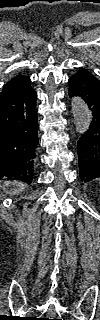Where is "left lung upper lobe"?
<instances>
[{
    "label": "left lung upper lobe",
    "instance_id": "left-lung-upper-lobe-1",
    "mask_svg": "<svg viewBox=\"0 0 100 320\" xmlns=\"http://www.w3.org/2000/svg\"><path fill=\"white\" fill-rule=\"evenodd\" d=\"M81 70H83V71H85V72H87V73H89L87 70H85L84 68H81ZM90 75H92L91 73H89ZM93 76V75H92ZM94 77V76H93Z\"/></svg>",
    "mask_w": 100,
    "mask_h": 320
}]
</instances>
